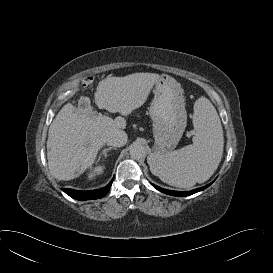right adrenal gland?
Listing matches in <instances>:
<instances>
[{"mask_svg":"<svg viewBox=\"0 0 273 273\" xmlns=\"http://www.w3.org/2000/svg\"><path fill=\"white\" fill-rule=\"evenodd\" d=\"M110 150H116V148H115V147L105 148V149L102 151V153L99 155L97 162L100 161V159H101L102 156H104V157L106 158V157H107V152H109Z\"/></svg>","mask_w":273,"mask_h":273,"instance_id":"right-adrenal-gland-1","label":"right adrenal gland"}]
</instances>
